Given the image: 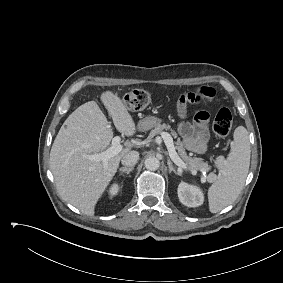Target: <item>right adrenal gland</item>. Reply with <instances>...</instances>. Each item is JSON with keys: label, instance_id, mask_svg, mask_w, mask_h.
Segmentation results:
<instances>
[{"label": "right adrenal gland", "instance_id": "right-adrenal-gland-1", "mask_svg": "<svg viewBox=\"0 0 283 283\" xmlns=\"http://www.w3.org/2000/svg\"><path fill=\"white\" fill-rule=\"evenodd\" d=\"M133 170H134V167H130V168L122 167V168L119 169L120 175H123L124 173H126L128 175Z\"/></svg>", "mask_w": 283, "mask_h": 283}]
</instances>
